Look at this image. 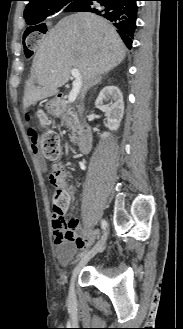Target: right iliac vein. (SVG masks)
<instances>
[{
	"label": "right iliac vein",
	"instance_id": "63e3f726",
	"mask_svg": "<svg viewBox=\"0 0 183 329\" xmlns=\"http://www.w3.org/2000/svg\"><path fill=\"white\" fill-rule=\"evenodd\" d=\"M107 237L108 230L104 232L97 244L80 259V261L74 268L69 287V301L71 303L75 300V281L77 274L79 273L81 268L84 267L98 252L104 249Z\"/></svg>",
	"mask_w": 183,
	"mask_h": 329
}]
</instances>
